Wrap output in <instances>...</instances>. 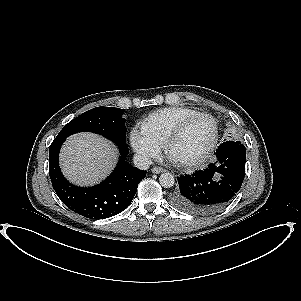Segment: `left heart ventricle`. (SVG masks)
<instances>
[{
  "instance_id": "b2bd125f",
  "label": "left heart ventricle",
  "mask_w": 301,
  "mask_h": 301,
  "mask_svg": "<svg viewBox=\"0 0 301 301\" xmlns=\"http://www.w3.org/2000/svg\"><path fill=\"white\" fill-rule=\"evenodd\" d=\"M213 135V124L208 119H197L191 123L184 134L171 149V156L180 161L194 159L200 156L209 145Z\"/></svg>"
}]
</instances>
